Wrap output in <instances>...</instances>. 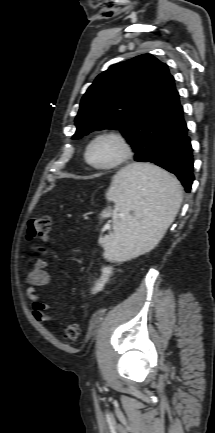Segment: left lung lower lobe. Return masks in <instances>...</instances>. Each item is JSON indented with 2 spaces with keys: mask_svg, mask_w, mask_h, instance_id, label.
<instances>
[{
  "mask_svg": "<svg viewBox=\"0 0 215 433\" xmlns=\"http://www.w3.org/2000/svg\"><path fill=\"white\" fill-rule=\"evenodd\" d=\"M187 132L183 108L178 100L171 121L159 143L157 156L152 163L176 175L185 191L189 193L195 178L193 149Z\"/></svg>",
  "mask_w": 215,
  "mask_h": 433,
  "instance_id": "obj_1",
  "label": "left lung lower lobe"
}]
</instances>
